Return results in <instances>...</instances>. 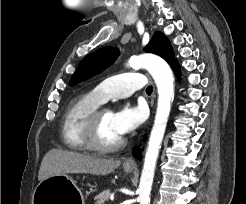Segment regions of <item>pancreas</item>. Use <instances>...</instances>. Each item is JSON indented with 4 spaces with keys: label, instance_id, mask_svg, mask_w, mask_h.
Instances as JSON below:
<instances>
[{
    "label": "pancreas",
    "instance_id": "pancreas-1",
    "mask_svg": "<svg viewBox=\"0 0 246 204\" xmlns=\"http://www.w3.org/2000/svg\"><path fill=\"white\" fill-rule=\"evenodd\" d=\"M111 196V192L110 190H105L102 193L98 194L94 200H95V204H104L106 201L109 200Z\"/></svg>",
    "mask_w": 246,
    "mask_h": 204
}]
</instances>
